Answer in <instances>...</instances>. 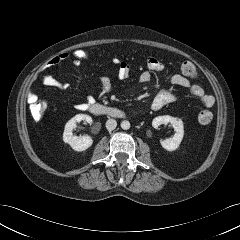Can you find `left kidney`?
<instances>
[{"instance_id":"1","label":"left kidney","mask_w":240,"mask_h":240,"mask_svg":"<svg viewBox=\"0 0 240 240\" xmlns=\"http://www.w3.org/2000/svg\"><path fill=\"white\" fill-rule=\"evenodd\" d=\"M170 123L175 130L172 138L160 141L162 147L167 151L176 150L184 136V126L181 119L169 115L155 117L152 121V126L157 129L161 124Z\"/></svg>"}]
</instances>
